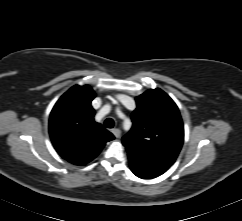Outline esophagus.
Returning <instances> with one entry per match:
<instances>
[{
	"label": "esophagus",
	"mask_w": 242,
	"mask_h": 221,
	"mask_svg": "<svg viewBox=\"0 0 242 221\" xmlns=\"http://www.w3.org/2000/svg\"><path fill=\"white\" fill-rule=\"evenodd\" d=\"M112 133L114 134V136H115L116 138H119V137L121 136V131H120V129L114 128V129H112Z\"/></svg>",
	"instance_id": "esophagus-1"
}]
</instances>
